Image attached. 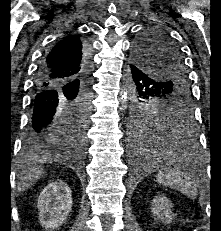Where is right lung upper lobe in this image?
Instances as JSON below:
<instances>
[{
    "mask_svg": "<svg viewBox=\"0 0 221 231\" xmlns=\"http://www.w3.org/2000/svg\"><path fill=\"white\" fill-rule=\"evenodd\" d=\"M87 58L86 48L78 36L65 37L51 49L41 64L45 71L42 84H65L81 79L89 70L86 69Z\"/></svg>",
    "mask_w": 221,
    "mask_h": 231,
    "instance_id": "obj_1",
    "label": "right lung upper lobe"
}]
</instances>
